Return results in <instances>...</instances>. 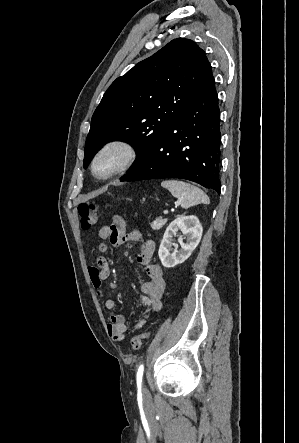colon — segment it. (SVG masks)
Instances as JSON below:
<instances>
[{
	"label": "colon",
	"instance_id": "obj_1",
	"mask_svg": "<svg viewBox=\"0 0 299 443\" xmlns=\"http://www.w3.org/2000/svg\"><path fill=\"white\" fill-rule=\"evenodd\" d=\"M78 213L81 218V225L84 229L94 227L98 221L97 207L93 203H81L78 206ZM149 333L145 332L134 336L130 341V348L132 351H137L141 348L143 341L148 338Z\"/></svg>",
	"mask_w": 299,
	"mask_h": 443
}]
</instances>
